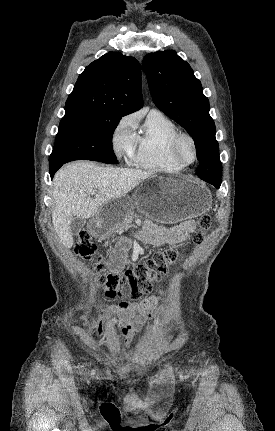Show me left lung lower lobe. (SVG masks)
Listing matches in <instances>:
<instances>
[{
	"label": "left lung lower lobe",
	"instance_id": "1",
	"mask_svg": "<svg viewBox=\"0 0 275 431\" xmlns=\"http://www.w3.org/2000/svg\"><path fill=\"white\" fill-rule=\"evenodd\" d=\"M198 177L214 185L216 188H219L221 185V179H218L214 173H208L206 175H198Z\"/></svg>",
	"mask_w": 275,
	"mask_h": 431
}]
</instances>
